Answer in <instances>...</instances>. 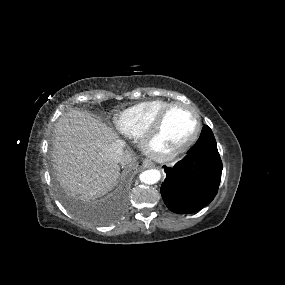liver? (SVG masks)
Here are the masks:
<instances>
[{
  "label": "liver",
  "mask_w": 285,
  "mask_h": 285,
  "mask_svg": "<svg viewBox=\"0 0 285 285\" xmlns=\"http://www.w3.org/2000/svg\"><path fill=\"white\" fill-rule=\"evenodd\" d=\"M118 135L89 113L71 110L54 129L53 162L60 182L73 194L86 199L104 195L120 175V166L110 157ZM131 154L123 153L122 165Z\"/></svg>",
  "instance_id": "obj_1"
}]
</instances>
